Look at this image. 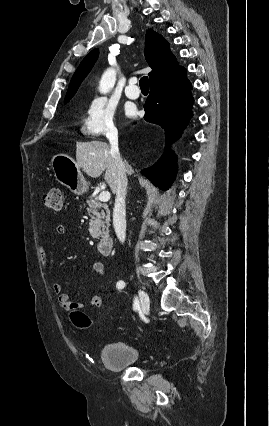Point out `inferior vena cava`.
<instances>
[{"instance_id": "obj_1", "label": "inferior vena cava", "mask_w": 269, "mask_h": 426, "mask_svg": "<svg viewBox=\"0 0 269 426\" xmlns=\"http://www.w3.org/2000/svg\"><path fill=\"white\" fill-rule=\"evenodd\" d=\"M111 153L114 156L116 167H117V187H116V198L113 210V225L116 235L121 243H124L126 238V208L125 198L127 194V164L123 162L118 148V133L117 131L112 132L108 136Z\"/></svg>"}]
</instances>
